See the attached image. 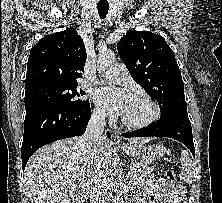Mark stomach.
Returning <instances> with one entry per match:
<instances>
[{"mask_svg":"<svg viewBox=\"0 0 222 203\" xmlns=\"http://www.w3.org/2000/svg\"><path fill=\"white\" fill-rule=\"evenodd\" d=\"M122 149L127 154L145 163H151L152 161L161 158L166 152V148L161 144H154L149 146L128 145L122 147Z\"/></svg>","mask_w":222,"mask_h":203,"instance_id":"stomach-1","label":"stomach"}]
</instances>
